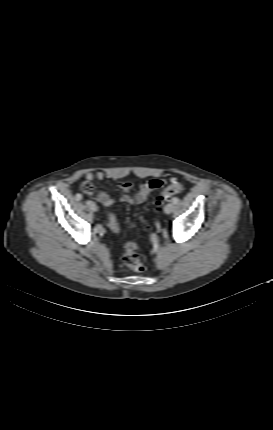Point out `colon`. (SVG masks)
<instances>
[{
    "mask_svg": "<svg viewBox=\"0 0 273 430\" xmlns=\"http://www.w3.org/2000/svg\"><path fill=\"white\" fill-rule=\"evenodd\" d=\"M82 189L86 193H91L93 191V185L90 182H85L82 185ZM182 190V184L176 180H173L172 183L167 186L160 195L157 197V202L159 204L163 203L166 200L171 199L176 194H178ZM109 226L116 233H122L121 227L117 222V219L113 213H109ZM124 263L131 269L135 271L144 270V265L138 255V246L136 243L132 241H128L124 245V254H123Z\"/></svg>",
    "mask_w": 273,
    "mask_h": 430,
    "instance_id": "1",
    "label": "colon"
}]
</instances>
